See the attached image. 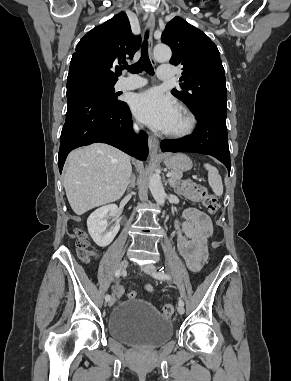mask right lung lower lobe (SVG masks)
<instances>
[{"mask_svg": "<svg viewBox=\"0 0 291 381\" xmlns=\"http://www.w3.org/2000/svg\"><path fill=\"white\" fill-rule=\"evenodd\" d=\"M67 100L58 155L60 172L70 151L94 142L107 143L140 160L147 158L148 136L144 131L134 134L126 103L112 104L91 83L78 79H68Z\"/></svg>", "mask_w": 291, "mask_h": 381, "instance_id": "1", "label": "right lung lower lobe"}]
</instances>
